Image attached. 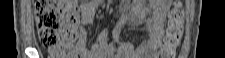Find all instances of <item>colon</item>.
<instances>
[{"label":"colon","instance_id":"5ec220e1","mask_svg":"<svg viewBox=\"0 0 225 58\" xmlns=\"http://www.w3.org/2000/svg\"><path fill=\"white\" fill-rule=\"evenodd\" d=\"M76 1L38 0L35 4L36 24L41 45L52 58H77L75 41L78 38L80 10ZM185 13L180 7L169 13L164 44L160 55L173 58L184 32Z\"/></svg>","mask_w":225,"mask_h":58}]
</instances>
